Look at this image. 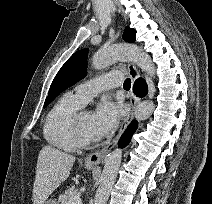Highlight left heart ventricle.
Segmentation results:
<instances>
[{
    "label": "left heart ventricle",
    "mask_w": 212,
    "mask_h": 204,
    "mask_svg": "<svg viewBox=\"0 0 212 204\" xmlns=\"http://www.w3.org/2000/svg\"><path fill=\"white\" fill-rule=\"evenodd\" d=\"M81 128L85 136L91 140H95L93 135V113L85 112L81 116Z\"/></svg>",
    "instance_id": "obj_1"
}]
</instances>
